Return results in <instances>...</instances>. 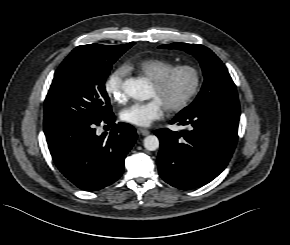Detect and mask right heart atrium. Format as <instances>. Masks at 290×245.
Wrapping results in <instances>:
<instances>
[{"instance_id":"right-heart-atrium-1","label":"right heart atrium","mask_w":290,"mask_h":245,"mask_svg":"<svg viewBox=\"0 0 290 245\" xmlns=\"http://www.w3.org/2000/svg\"><path fill=\"white\" fill-rule=\"evenodd\" d=\"M126 73L127 70L124 66L117 67L110 73L105 82L106 94L117 103H124L127 100V94L123 86Z\"/></svg>"}]
</instances>
